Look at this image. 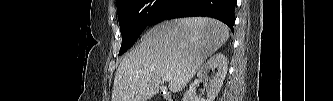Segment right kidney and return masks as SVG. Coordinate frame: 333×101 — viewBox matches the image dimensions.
<instances>
[{
    "label": "right kidney",
    "instance_id": "obj_1",
    "mask_svg": "<svg viewBox=\"0 0 333 101\" xmlns=\"http://www.w3.org/2000/svg\"><path fill=\"white\" fill-rule=\"evenodd\" d=\"M228 60L222 53L213 55L200 67L197 76L204 81V87L207 92L206 101H214L217 97L223 81L227 74ZM214 76L209 77L210 70H215ZM183 101H196V95L193 91H187L184 94Z\"/></svg>",
    "mask_w": 333,
    "mask_h": 101
}]
</instances>
